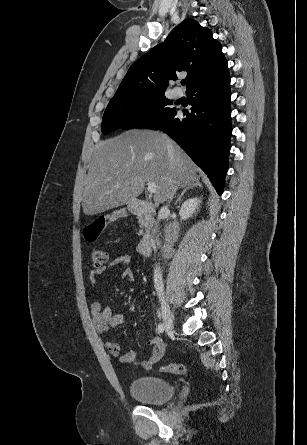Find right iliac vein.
<instances>
[{"instance_id":"right-iliac-vein-1","label":"right iliac vein","mask_w":307,"mask_h":445,"mask_svg":"<svg viewBox=\"0 0 307 445\" xmlns=\"http://www.w3.org/2000/svg\"><path fill=\"white\" fill-rule=\"evenodd\" d=\"M161 309H162V318H163V324L166 331H172L173 330V314L171 311L170 306L166 301L161 302Z\"/></svg>"}]
</instances>
